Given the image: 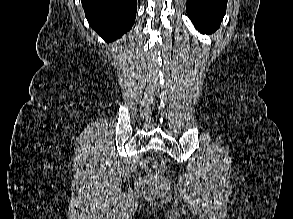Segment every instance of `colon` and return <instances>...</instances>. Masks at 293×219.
<instances>
[{
	"label": "colon",
	"instance_id": "1",
	"mask_svg": "<svg viewBox=\"0 0 293 219\" xmlns=\"http://www.w3.org/2000/svg\"><path fill=\"white\" fill-rule=\"evenodd\" d=\"M143 168L147 171H158L159 174H163L167 170L165 163H157L153 158H146L143 161ZM135 188L138 192H144L146 189L145 181L142 178H139L136 181Z\"/></svg>",
	"mask_w": 293,
	"mask_h": 219
}]
</instances>
